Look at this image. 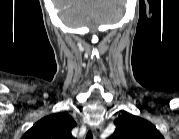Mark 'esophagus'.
<instances>
[{"label": "esophagus", "mask_w": 179, "mask_h": 139, "mask_svg": "<svg viewBox=\"0 0 179 139\" xmlns=\"http://www.w3.org/2000/svg\"><path fill=\"white\" fill-rule=\"evenodd\" d=\"M103 130V126L102 125H94L92 126V132L94 134L95 137L99 136L100 133Z\"/></svg>", "instance_id": "esophagus-1"}]
</instances>
